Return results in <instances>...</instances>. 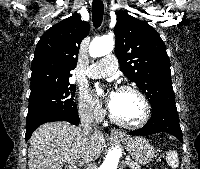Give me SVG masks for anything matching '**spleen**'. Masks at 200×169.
I'll list each match as a JSON object with an SVG mask.
<instances>
[{"label":"spleen","mask_w":200,"mask_h":169,"mask_svg":"<svg viewBox=\"0 0 200 169\" xmlns=\"http://www.w3.org/2000/svg\"><path fill=\"white\" fill-rule=\"evenodd\" d=\"M167 160H168V164L176 169L178 167L179 161H178V155L177 152L175 150H171L168 154H167Z\"/></svg>","instance_id":"obj_1"}]
</instances>
